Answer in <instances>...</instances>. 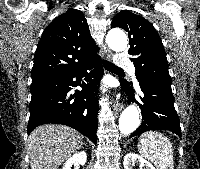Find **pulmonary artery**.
Here are the masks:
<instances>
[{
	"label": "pulmonary artery",
	"mask_w": 200,
	"mask_h": 169,
	"mask_svg": "<svg viewBox=\"0 0 200 169\" xmlns=\"http://www.w3.org/2000/svg\"><path fill=\"white\" fill-rule=\"evenodd\" d=\"M115 63L118 66L128 67L130 72L134 74L135 69L131 66L129 58L125 56L124 54H118V56L115 59Z\"/></svg>",
	"instance_id": "1"
}]
</instances>
